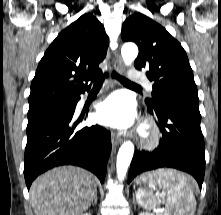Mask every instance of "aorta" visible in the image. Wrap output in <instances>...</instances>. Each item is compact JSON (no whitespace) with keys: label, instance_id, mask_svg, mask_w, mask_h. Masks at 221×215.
Returning <instances> with one entry per match:
<instances>
[{"label":"aorta","instance_id":"aorta-1","mask_svg":"<svg viewBox=\"0 0 221 215\" xmlns=\"http://www.w3.org/2000/svg\"><path fill=\"white\" fill-rule=\"evenodd\" d=\"M125 65L129 66L138 55V47L134 43H125L121 48ZM134 154V145L130 141L122 144L117 155L116 171L119 180L124 179Z\"/></svg>","mask_w":221,"mask_h":215}]
</instances>
